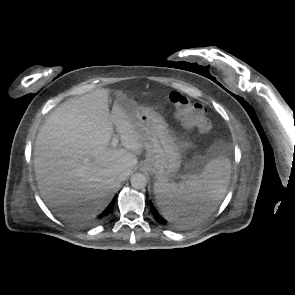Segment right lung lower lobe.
Wrapping results in <instances>:
<instances>
[{"label": "right lung lower lobe", "instance_id": "98d812e1", "mask_svg": "<svg viewBox=\"0 0 295 295\" xmlns=\"http://www.w3.org/2000/svg\"><path fill=\"white\" fill-rule=\"evenodd\" d=\"M113 203L114 202H111V204L106 208V210L103 212V214L99 218L107 216L109 213H111L113 209Z\"/></svg>", "mask_w": 295, "mask_h": 295}]
</instances>
